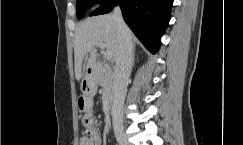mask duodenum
Listing matches in <instances>:
<instances>
[{
	"label": "duodenum",
	"instance_id": "duodenum-1",
	"mask_svg": "<svg viewBox=\"0 0 243 145\" xmlns=\"http://www.w3.org/2000/svg\"><path fill=\"white\" fill-rule=\"evenodd\" d=\"M99 72H100V66H97V65L91 66L88 69V82L90 84H93L95 82L96 77L99 74ZM114 105H115L114 98H112V97L108 98L107 106H108L110 111H112L114 109Z\"/></svg>",
	"mask_w": 243,
	"mask_h": 145
}]
</instances>
